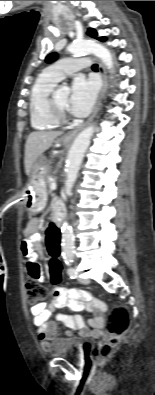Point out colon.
<instances>
[{
  "label": "colon",
  "mask_w": 155,
  "mask_h": 395,
  "mask_svg": "<svg viewBox=\"0 0 155 395\" xmlns=\"http://www.w3.org/2000/svg\"><path fill=\"white\" fill-rule=\"evenodd\" d=\"M46 232L45 250L49 251L53 260H51L48 267L49 272H52L53 279H62L63 267L60 260V234L61 229L57 228L56 223H49ZM56 288L61 286L59 281L54 283ZM26 299L29 304L35 305L45 299L47 291L45 287L35 278H30L25 282ZM130 312L124 306H116L110 310L107 321L108 338L100 344L97 349V356L101 360L108 359L113 353L116 346L121 342L124 334L127 332L130 323Z\"/></svg>",
  "instance_id": "5ec220e1"
}]
</instances>
